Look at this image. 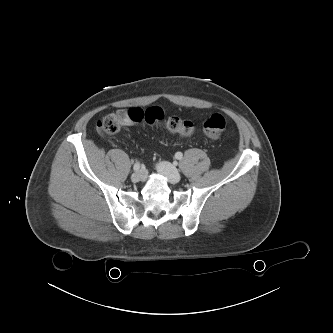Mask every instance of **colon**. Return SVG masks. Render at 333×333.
<instances>
[{
    "label": "colon",
    "instance_id": "obj_1",
    "mask_svg": "<svg viewBox=\"0 0 333 333\" xmlns=\"http://www.w3.org/2000/svg\"><path fill=\"white\" fill-rule=\"evenodd\" d=\"M130 117L126 110H119L108 114L97 123V129L105 134H114L119 131L122 125H126ZM154 124H162L171 133L182 136H190L194 132V125L191 121L181 120L178 117H170L167 120L155 119ZM226 119L220 114H213L203 123L204 134L211 138H218L226 129Z\"/></svg>",
    "mask_w": 333,
    "mask_h": 333
}]
</instances>
